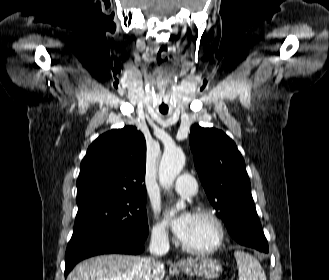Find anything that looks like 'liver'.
I'll list each match as a JSON object with an SVG mask.
<instances>
[{"label": "liver", "mask_w": 329, "mask_h": 280, "mask_svg": "<svg viewBox=\"0 0 329 280\" xmlns=\"http://www.w3.org/2000/svg\"><path fill=\"white\" fill-rule=\"evenodd\" d=\"M142 258L127 255H100L79 263L67 280H143ZM165 267L153 271L152 280H163Z\"/></svg>", "instance_id": "1"}]
</instances>
